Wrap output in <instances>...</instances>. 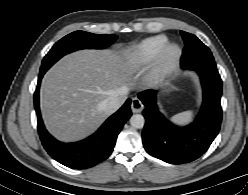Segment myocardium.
I'll return each mask as SVG.
<instances>
[{
  "label": "myocardium",
  "mask_w": 248,
  "mask_h": 195,
  "mask_svg": "<svg viewBox=\"0 0 248 195\" xmlns=\"http://www.w3.org/2000/svg\"><path fill=\"white\" fill-rule=\"evenodd\" d=\"M182 57V48L177 43H167L156 59L153 76H160L172 70Z\"/></svg>",
  "instance_id": "1"
}]
</instances>
